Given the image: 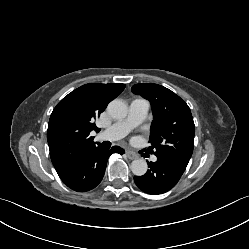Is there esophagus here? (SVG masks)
<instances>
[{
	"label": "esophagus",
	"instance_id": "34e87169",
	"mask_svg": "<svg viewBox=\"0 0 249 249\" xmlns=\"http://www.w3.org/2000/svg\"><path fill=\"white\" fill-rule=\"evenodd\" d=\"M126 155L131 160L138 158V155L130 150H126Z\"/></svg>",
	"mask_w": 249,
	"mask_h": 249
}]
</instances>
